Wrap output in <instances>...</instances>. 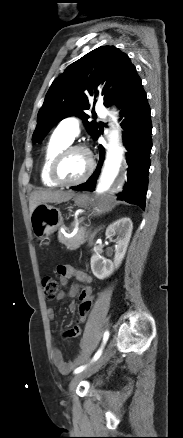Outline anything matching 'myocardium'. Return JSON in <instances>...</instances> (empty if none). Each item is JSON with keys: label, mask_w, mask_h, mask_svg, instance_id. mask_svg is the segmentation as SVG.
<instances>
[{"label": "myocardium", "mask_w": 183, "mask_h": 438, "mask_svg": "<svg viewBox=\"0 0 183 438\" xmlns=\"http://www.w3.org/2000/svg\"><path fill=\"white\" fill-rule=\"evenodd\" d=\"M76 151L83 152L87 157L88 166H87L86 172L84 173V175L81 178H79L75 181H72V182L63 181L59 177V174H58L60 164L66 156H68L72 152H76ZM94 169H95V161H94V158H93L90 150L86 146H83V145L70 144L67 147L63 148L61 151H59L56 154V156L53 158L50 169H49V177L57 186L73 187V186H78V185L86 182L93 174Z\"/></svg>", "instance_id": "1"}]
</instances>
